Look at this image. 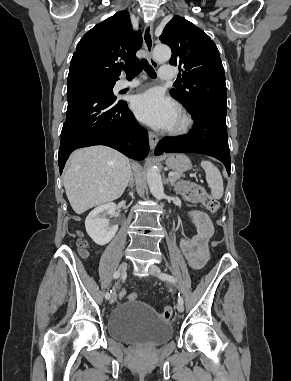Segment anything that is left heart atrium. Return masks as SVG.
I'll return each mask as SVG.
<instances>
[{
    "label": "left heart atrium",
    "instance_id": "39dd6f15",
    "mask_svg": "<svg viewBox=\"0 0 291 381\" xmlns=\"http://www.w3.org/2000/svg\"><path fill=\"white\" fill-rule=\"evenodd\" d=\"M131 108L142 122L157 129L171 128L178 117L176 104L157 89L134 96Z\"/></svg>",
    "mask_w": 291,
    "mask_h": 381
}]
</instances>
